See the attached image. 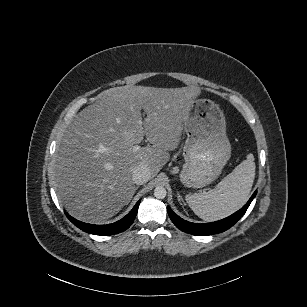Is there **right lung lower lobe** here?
Returning a JSON list of instances; mask_svg holds the SVG:
<instances>
[{
	"label": "right lung lower lobe",
	"instance_id": "98d812e1",
	"mask_svg": "<svg viewBox=\"0 0 307 307\" xmlns=\"http://www.w3.org/2000/svg\"><path fill=\"white\" fill-rule=\"evenodd\" d=\"M139 204H140V200L136 203L133 209L124 218H122L121 220L115 223L108 224V225L87 224V223H83L81 221L74 219L67 213H66V216L74 225H76L78 228H80L81 230L87 233L101 235V236H108V235H113V234L123 232L131 226V224L133 223L136 217Z\"/></svg>",
	"mask_w": 307,
	"mask_h": 307
}]
</instances>
